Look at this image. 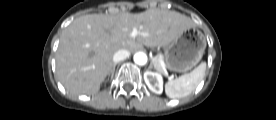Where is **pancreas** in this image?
<instances>
[{"label": "pancreas", "mask_w": 276, "mask_h": 120, "mask_svg": "<svg viewBox=\"0 0 276 120\" xmlns=\"http://www.w3.org/2000/svg\"><path fill=\"white\" fill-rule=\"evenodd\" d=\"M160 57L162 58V57H163V55H162V54H160ZM157 68H158V69H161V66H160L159 64H157Z\"/></svg>", "instance_id": "cf45deb5"}]
</instances>
